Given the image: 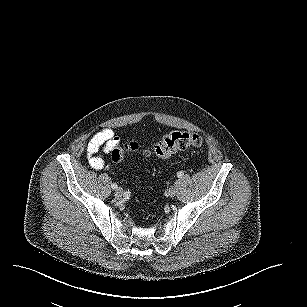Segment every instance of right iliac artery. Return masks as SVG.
<instances>
[{
  "instance_id": "obj_1",
  "label": "right iliac artery",
  "mask_w": 307,
  "mask_h": 307,
  "mask_svg": "<svg viewBox=\"0 0 307 307\" xmlns=\"http://www.w3.org/2000/svg\"><path fill=\"white\" fill-rule=\"evenodd\" d=\"M111 187H112L113 189H116L118 186H117L116 183H112V184H111Z\"/></svg>"
}]
</instances>
